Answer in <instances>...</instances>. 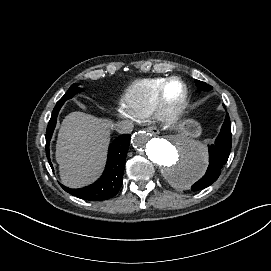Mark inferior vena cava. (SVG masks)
Here are the masks:
<instances>
[{"label": "inferior vena cava", "instance_id": "602c4592", "mask_svg": "<svg viewBox=\"0 0 271 271\" xmlns=\"http://www.w3.org/2000/svg\"><path fill=\"white\" fill-rule=\"evenodd\" d=\"M116 131L120 134L130 133L132 131V122L130 120H124L118 122L116 125Z\"/></svg>", "mask_w": 271, "mask_h": 271}]
</instances>
